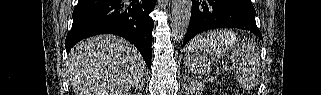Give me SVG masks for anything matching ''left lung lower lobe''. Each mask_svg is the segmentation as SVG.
Masks as SVG:
<instances>
[{"instance_id": "obj_1", "label": "left lung lower lobe", "mask_w": 321, "mask_h": 95, "mask_svg": "<svg viewBox=\"0 0 321 95\" xmlns=\"http://www.w3.org/2000/svg\"><path fill=\"white\" fill-rule=\"evenodd\" d=\"M218 27L248 30L262 39L250 0H192L191 19L183 46L196 34Z\"/></svg>"}]
</instances>
